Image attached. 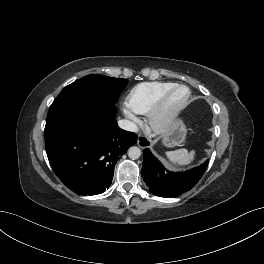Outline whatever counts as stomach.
Returning <instances> with one entry per match:
<instances>
[{
    "instance_id": "stomach-1",
    "label": "stomach",
    "mask_w": 264,
    "mask_h": 264,
    "mask_svg": "<svg viewBox=\"0 0 264 264\" xmlns=\"http://www.w3.org/2000/svg\"><path fill=\"white\" fill-rule=\"evenodd\" d=\"M186 127L181 120H176L169 131L163 136V143L167 147L181 145L186 137Z\"/></svg>"
}]
</instances>
